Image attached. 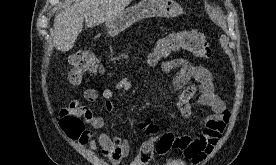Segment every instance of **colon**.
<instances>
[{"mask_svg": "<svg viewBox=\"0 0 276 165\" xmlns=\"http://www.w3.org/2000/svg\"><path fill=\"white\" fill-rule=\"evenodd\" d=\"M184 50L199 58H209L211 48L207 37L194 29L183 30L171 33L165 37L159 38L150 55V61L156 63L167 58L172 53ZM101 70V63L91 51H79L70 56L68 79L70 83L76 85L82 80L85 74L97 73ZM62 127L70 136L77 139L83 129V124L79 119L67 117L60 119ZM151 134L157 133V127L145 123Z\"/></svg>", "mask_w": 276, "mask_h": 165, "instance_id": "obj_1", "label": "colon"}]
</instances>
